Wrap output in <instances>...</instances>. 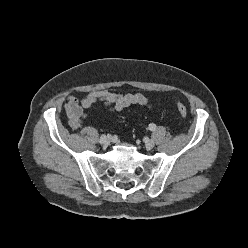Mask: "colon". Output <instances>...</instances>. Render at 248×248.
Wrapping results in <instances>:
<instances>
[{
	"mask_svg": "<svg viewBox=\"0 0 248 248\" xmlns=\"http://www.w3.org/2000/svg\"><path fill=\"white\" fill-rule=\"evenodd\" d=\"M177 109H178V111H179V113H180V115L182 117H186L187 116V108H186V106L183 103L178 102L177 103Z\"/></svg>",
	"mask_w": 248,
	"mask_h": 248,
	"instance_id": "1",
	"label": "colon"
}]
</instances>
